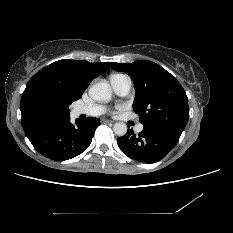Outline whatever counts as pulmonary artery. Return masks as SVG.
I'll use <instances>...</instances> for the list:
<instances>
[{"label":"pulmonary artery","mask_w":233,"mask_h":233,"mask_svg":"<svg viewBox=\"0 0 233 233\" xmlns=\"http://www.w3.org/2000/svg\"><path fill=\"white\" fill-rule=\"evenodd\" d=\"M110 82L115 93L121 96L128 94L132 86L131 79L126 75H114L111 77ZM104 111V108L98 105H81L73 109V114L76 116H97L104 113ZM142 130L143 125L138 124L136 126V131L141 132Z\"/></svg>","instance_id":"obj_1"}]
</instances>
